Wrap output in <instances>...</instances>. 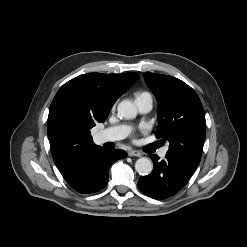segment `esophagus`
<instances>
[{
	"label": "esophagus",
	"mask_w": 247,
	"mask_h": 247,
	"mask_svg": "<svg viewBox=\"0 0 247 247\" xmlns=\"http://www.w3.org/2000/svg\"><path fill=\"white\" fill-rule=\"evenodd\" d=\"M128 155L129 156H135V157H140L141 155H142V153L141 152H139V151H137V150H130L129 152H128Z\"/></svg>",
	"instance_id": "34e87169"
}]
</instances>
